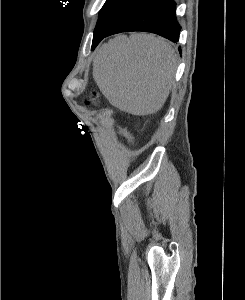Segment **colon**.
Instances as JSON below:
<instances>
[{"instance_id":"colon-1","label":"colon","mask_w":245,"mask_h":300,"mask_svg":"<svg viewBox=\"0 0 245 300\" xmlns=\"http://www.w3.org/2000/svg\"><path fill=\"white\" fill-rule=\"evenodd\" d=\"M95 102H96L95 95L91 94L88 98V102H86V103H87V105H91ZM121 130H122L124 137L127 139V141L129 143H133V140H134L133 135L126 128H122Z\"/></svg>"}]
</instances>
